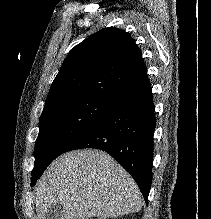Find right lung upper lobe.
<instances>
[{
    "label": "right lung upper lobe",
    "instance_id": "1",
    "mask_svg": "<svg viewBox=\"0 0 211 219\" xmlns=\"http://www.w3.org/2000/svg\"><path fill=\"white\" fill-rule=\"evenodd\" d=\"M149 86L140 49L127 32L109 27L70 51L51 85L44 109L81 97L118 104Z\"/></svg>",
    "mask_w": 211,
    "mask_h": 219
}]
</instances>
